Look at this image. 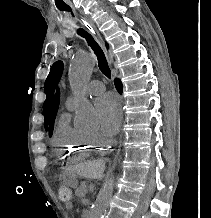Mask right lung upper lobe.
<instances>
[{
    "instance_id": "obj_1",
    "label": "right lung upper lobe",
    "mask_w": 211,
    "mask_h": 218,
    "mask_svg": "<svg viewBox=\"0 0 211 218\" xmlns=\"http://www.w3.org/2000/svg\"><path fill=\"white\" fill-rule=\"evenodd\" d=\"M59 101H60V99H59V90H58V93L54 99V103H53V107H52L51 123H50V127H49V134L50 135L52 134V131H53V126H54L53 123H54L55 115H56L57 110H58Z\"/></svg>"
}]
</instances>
